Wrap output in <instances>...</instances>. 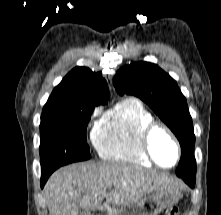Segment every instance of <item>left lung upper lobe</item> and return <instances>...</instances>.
Wrapping results in <instances>:
<instances>
[{
    "instance_id": "obj_1",
    "label": "left lung upper lobe",
    "mask_w": 221,
    "mask_h": 215,
    "mask_svg": "<svg viewBox=\"0 0 221 215\" xmlns=\"http://www.w3.org/2000/svg\"><path fill=\"white\" fill-rule=\"evenodd\" d=\"M113 84L120 94L139 97L166 123L181 145L182 155L176 174L181 178L196 176L195 135L186 98L176 81L157 65L136 62L119 69Z\"/></svg>"
}]
</instances>
